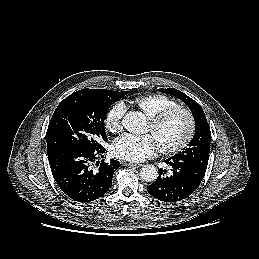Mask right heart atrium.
<instances>
[{
    "label": "right heart atrium",
    "instance_id": "d8ad5b80",
    "mask_svg": "<svg viewBox=\"0 0 259 259\" xmlns=\"http://www.w3.org/2000/svg\"><path fill=\"white\" fill-rule=\"evenodd\" d=\"M126 112L124 103H115L106 113L104 124L111 133H118L122 129V120Z\"/></svg>",
    "mask_w": 259,
    "mask_h": 259
}]
</instances>
